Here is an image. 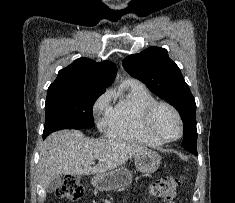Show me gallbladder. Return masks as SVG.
<instances>
[{
  "label": "gallbladder",
  "instance_id": "bac80fb5",
  "mask_svg": "<svg viewBox=\"0 0 235 203\" xmlns=\"http://www.w3.org/2000/svg\"><path fill=\"white\" fill-rule=\"evenodd\" d=\"M61 184V179L57 178L53 180L46 188L48 193L53 192Z\"/></svg>",
  "mask_w": 235,
  "mask_h": 203
}]
</instances>
